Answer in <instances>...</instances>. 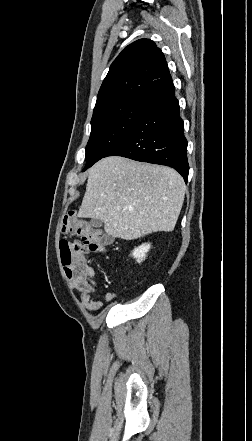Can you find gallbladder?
<instances>
[{"label": "gallbladder", "instance_id": "obj_1", "mask_svg": "<svg viewBox=\"0 0 252 441\" xmlns=\"http://www.w3.org/2000/svg\"><path fill=\"white\" fill-rule=\"evenodd\" d=\"M90 225L93 226V227L98 228V227H101L103 225V221L101 219H99V218H95V219H92L90 221Z\"/></svg>", "mask_w": 252, "mask_h": 441}]
</instances>
